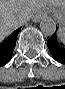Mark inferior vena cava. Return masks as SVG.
<instances>
[{
  "label": "inferior vena cava",
  "mask_w": 65,
  "mask_h": 89,
  "mask_svg": "<svg viewBox=\"0 0 65 89\" xmlns=\"http://www.w3.org/2000/svg\"><path fill=\"white\" fill-rule=\"evenodd\" d=\"M28 21V18L24 17V18H20L17 22H16V26L20 27L22 26L24 23H26Z\"/></svg>",
  "instance_id": "1"
}]
</instances>
